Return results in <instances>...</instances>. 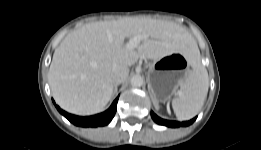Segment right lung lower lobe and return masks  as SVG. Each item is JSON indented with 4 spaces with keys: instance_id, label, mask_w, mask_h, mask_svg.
Segmentation results:
<instances>
[{
    "instance_id": "obj_1",
    "label": "right lung lower lobe",
    "mask_w": 261,
    "mask_h": 150,
    "mask_svg": "<svg viewBox=\"0 0 261 150\" xmlns=\"http://www.w3.org/2000/svg\"><path fill=\"white\" fill-rule=\"evenodd\" d=\"M117 101H118V98L113 102V104L107 111H105L101 114H97V115L89 116V117L75 116V115L69 114V113L61 110L58 106H56V107H57V110L62 115H64L70 122H72L73 124H75L77 126L97 127V126L107 125L112 120V118L114 117L115 112H116ZM53 103L55 104L54 101H53Z\"/></svg>"
}]
</instances>
